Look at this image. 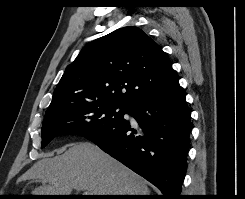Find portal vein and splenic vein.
<instances>
[{
	"instance_id": "obj_1",
	"label": "portal vein and splenic vein",
	"mask_w": 245,
	"mask_h": 199,
	"mask_svg": "<svg viewBox=\"0 0 245 199\" xmlns=\"http://www.w3.org/2000/svg\"><path fill=\"white\" fill-rule=\"evenodd\" d=\"M84 195H92L89 191H85Z\"/></svg>"
}]
</instances>
